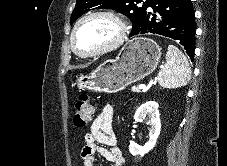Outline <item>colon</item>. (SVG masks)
<instances>
[{"mask_svg": "<svg viewBox=\"0 0 227 166\" xmlns=\"http://www.w3.org/2000/svg\"><path fill=\"white\" fill-rule=\"evenodd\" d=\"M94 113L93 105L87 94H81L76 98L74 104V124L84 127L91 120Z\"/></svg>", "mask_w": 227, "mask_h": 166, "instance_id": "5ec220e1", "label": "colon"}]
</instances>
